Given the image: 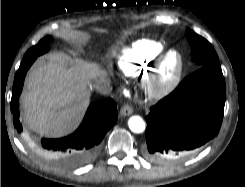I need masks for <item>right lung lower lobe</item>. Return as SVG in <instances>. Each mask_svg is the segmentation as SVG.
<instances>
[{
	"instance_id": "98d812e1",
	"label": "right lung lower lobe",
	"mask_w": 245,
	"mask_h": 187,
	"mask_svg": "<svg viewBox=\"0 0 245 187\" xmlns=\"http://www.w3.org/2000/svg\"><path fill=\"white\" fill-rule=\"evenodd\" d=\"M37 56L24 57L15 75L11 112L14 126L22 131L19 122L18 98L21 94L25 75ZM117 106L112 99H105L91 105L80 127L70 136L61 139H42L37 145L39 152L66 165H83L93 160L99 150V144L106 132L116 123Z\"/></svg>"
}]
</instances>
